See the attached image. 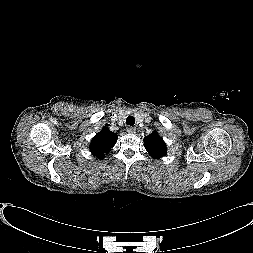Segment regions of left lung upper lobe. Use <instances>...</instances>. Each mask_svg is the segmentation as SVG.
<instances>
[{
    "instance_id": "1",
    "label": "left lung upper lobe",
    "mask_w": 253,
    "mask_h": 253,
    "mask_svg": "<svg viewBox=\"0 0 253 253\" xmlns=\"http://www.w3.org/2000/svg\"><path fill=\"white\" fill-rule=\"evenodd\" d=\"M146 150L153 158H161L167 154L165 142L155 131L144 138Z\"/></svg>"
}]
</instances>
